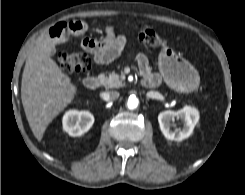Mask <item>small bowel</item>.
<instances>
[{
  "instance_id": "small-bowel-1",
  "label": "small bowel",
  "mask_w": 245,
  "mask_h": 195,
  "mask_svg": "<svg viewBox=\"0 0 245 195\" xmlns=\"http://www.w3.org/2000/svg\"><path fill=\"white\" fill-rule=\"evenodd\" d=\"M87 29L88 25L83 21L61 22L51 28L50 36L56 40H61L66 32L82 35ZM80 43L84 50L93 55L96 64L103 65L110 63L122 53L127 39L124 35H117L114 28L108 26L105 29L103 39L96 40L83 36ZM137 63L144 74H152L149 60L144 53L137 54Z\"/></svg>"
}]
</instances>
